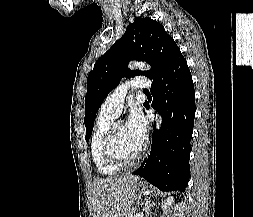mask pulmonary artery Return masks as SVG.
Wrapping results in <instances>:
<instances>
[{"mask_svg":"<svg viewBox=\"0 0 253 217\" xmlns=\"http://www.w3.org/2000/svg\"><path fill=\"white\" fill-rule=\"evenodd\" d=\"M151 83L149 79L137 76L130 82L121 84L112 91L102 104L101 111L118 116L122 111L124 99L129 89L147 90Z\"/></svg>","mask_w":253,"mask_h":217,"instance_id":"pulmonary-artery-1","label":"pulmonary artery"}]
</instances>
